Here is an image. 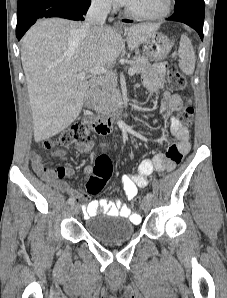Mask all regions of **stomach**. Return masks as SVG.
Here are the masks:
<instances>
[{
	"label": "stomach",
	"mask_w": 227,
	"mask_h": 298,
	"mask_svg": "<svg viewBox=\"0 0 227 298\" xmlns=\"http://www.w3.org/2000/svg\"><path fill=\"white\" fill-rule=\"evenodd\" d=\"M171 48V41L162 33H154L143 42V51L154 61L164 60L171 51Z\"/></svg>",
	"instance_id": "stomach-1"
}]
</instances>
